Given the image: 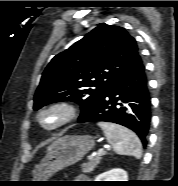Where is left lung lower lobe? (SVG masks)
<instances>
[{
    "mask_svg": "<svg viewBox=\"0 0 178 186\" xmlns=\"http://www.w3.org/2000/svg\"><path fill=\"white\" fill-rule=\"evenodd\" d=\"M150 106L148 81L142 62L121 75L108 88L101 102L81 115L78 122L104 121L123 125L133 130L145 146L151 121Z\"/></svg>",
    "mask_w": 178,
    "mask_h": 186,
    "instance_id": "0a47b994",
    "label": "left lung lower lobe"
}]
</instances>
